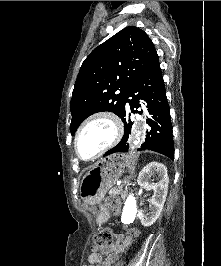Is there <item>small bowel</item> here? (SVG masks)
<instances>
[{"mask_svg":"<svg viewBox=\"0 0 221 266\" xmlns=\"http://www.w3.org/2000/svg\"><path fill=\"white\" fill-rule=\"evenodd\" d=\"M129 235L121 236L114 245L107 246L99 252H93L88 256V261L84 266H114L119 255L130 245ZM106 256L103 259V256Z\"/></svg>","mask_w":221,"mask_h":266,"instance_id":"small-bowel-1","label":"small bowel"}]
</instances>
